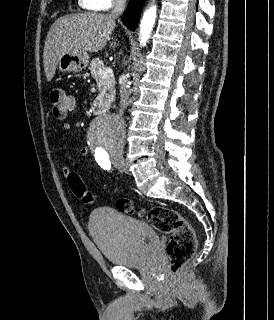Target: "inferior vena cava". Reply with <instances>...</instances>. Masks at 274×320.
I'll use <instances>...</instances> for the list:
<instances>
[{"label":"inferior vena cava","instance_id":"602c4592","mask_svg":"<svg viewBox=\"0 0 274 320\" xmlns=\"http://www.w3.org/2000/svg\"><path fill=\"white\" fill-rule=\"evenodd\" d=\"M126 0H114L113 8L110 16L112 18H119L125 10ZM129 86L127 84V76H121L120 78V110L119 114H124L127 106H129Z\"/></svg>","mask_w":274,"mask_h":320}]
</instances>
